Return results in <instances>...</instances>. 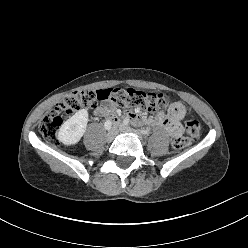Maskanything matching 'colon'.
Listing matches in <instances>:
<instances>
[{
  "label": "colon",
  "instance_id": "colon-1",
  "mask_svg": "<svg viewBox=\"0 0 248 248\" xmlns=\"http://www.w3.org/2000/svg\"><path fill=\"white\" fill-rule=\"evenodd\" d=\"M141 90L133 88H108L102 90H79L65 96L39 123V130L45 141L49 144L57 143L58 130L64 121L74 112L82 108L94 107L99 101L108 99L113 104L139 111H149L144 105L147 95ZM168 102L167 94L157 93ZM202 125L198 120L192 119L186 122L185 136H180L172 141V149L180 150L190 144L192 140L199 138Z\"/></svg>",
  "mask_w": 248,
  "mask_h": 248
}]
</instances>
